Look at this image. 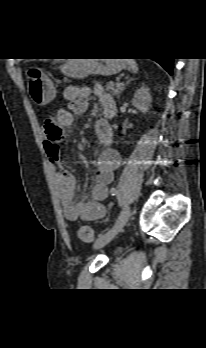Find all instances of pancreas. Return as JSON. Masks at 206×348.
Returning a JSON list of instances; mask_svg holds the SVG:
<instances>
[{"label":"pancreas","mask_w":206,"mask_h":348,"mask_svg":"<svg viewBox=\"0 0 206 348\" xmlns=\"http://www.w3.org/2000/svg\"><path fill=\"white\" fill-rule=\"evenodd\" d=\"M106 90L109 91L112 95L119 96L121 93V86L115 87L112 82H108L106 85Z\"/></svg>","instance_id":"cf45deb5"}]
</instances>
